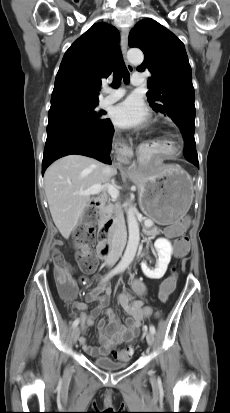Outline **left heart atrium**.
Here are the masks:
<instances>
[{"label":"left heart atrium","mask_w":230,"mask_h":413,"mask_svg":"<svg viewBox=\"0 0 230 413\" xmlns=\"http://www.w3.org/2000/svg\"><path fill=\"white\" fill-rule=\"evenodd\" d=\"M111 119L119 128H141L148 121V111L141 100L132 97L113 108Z\"/></svg>","instance_id":"39dd6f15"}]
</instances>
